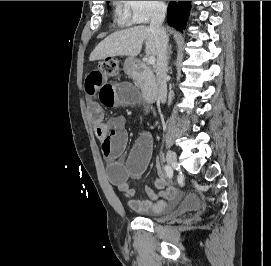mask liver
<instances>
[{"instance_id":"1","label":"liver","mask_w":271,"mask_h":266,"mask_svg":"<svg viewBox=\"0 0 271 266\" xmlns=\"http://www.w3.org/2000/svg\"><path fill=\"white\" fill-rule=\"evenodd\" d=\"M145 42L146 54L157 56L156 41L151 30L146 26H136L112 33L101 41L90 54V61L114 56H137Z\"/></svg>"}]
</instances>
